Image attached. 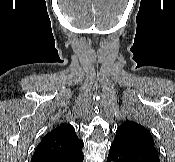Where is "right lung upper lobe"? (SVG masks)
Listing matches in <instances>:
<instances>
[{
    "instance_id": "1",
    "label": "right lung upper lobe",
    "mask_w": 175,
    "mask_h": 162,
    "mask_svg": "<svg viewBox=\"0 0 175 162\" xmlns=\"http://www.w3.org/2000/svg\"><path fill=\"white\" fill-rule=\"evenodd\" d=\"M84 144L76 136L75 129L70 124H61L47 133L38 144L32 162L54 155H74L82 151Z\"/></svg>"
}]
</instances>
